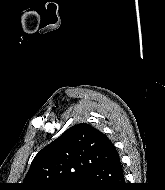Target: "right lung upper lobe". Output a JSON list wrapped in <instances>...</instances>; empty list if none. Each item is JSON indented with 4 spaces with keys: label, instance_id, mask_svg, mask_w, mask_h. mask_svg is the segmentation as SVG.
Instances as JSON below:
<instances>
[{
    "label": "right lung upper lobe",
    "instance_id": "cb5924a9",
    "mask_svg": "<svg viewBox=\"0 0 165 190\" xmlns=\"http://www.w3.org/2000/svg\"><path fill=\"white\" fill-rule=\"evenodd\" d=\"M117 154L106 135L91 125L77 124L37 153L22 188L50 190L73 184L85 172Z\"/></svg>",
    "mask_w": 165,
    "mask_h": 190
}]
</instances>
